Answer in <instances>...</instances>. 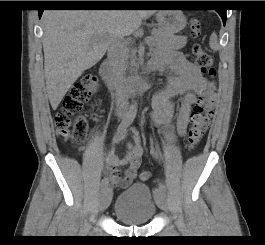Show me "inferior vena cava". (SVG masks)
Segmentation results:
<instances>
[{"mask_svg":"<svg viewBox=\"0 0 265 245\" xmlns=\"http://www.w3.org/2000/svg\"><path fill=\"white\" fill-rule=\"evenodd\" d=\"M108 57L113 62L114 74L117 82L120 84V89L116 93L117 112L125 113L128 102L123 92L122 86L125 78V70L128 59L127 48L120 39H114L108 47Z\"/></svg>","mask_w":265,"mask_h":245,"instance_id":"obj_1","label":"inferior vena cava"}]
</instances>
